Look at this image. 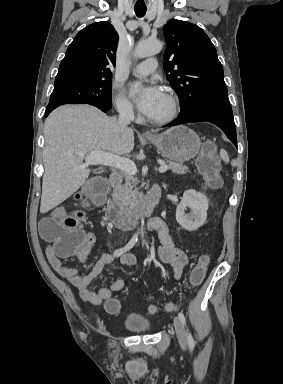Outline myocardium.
I'll list each match as a JSON object with an SVG mask.
<instances>
[{"label":"myocardium","mask_w":283,"mask_h":384,"mask_svg":"<svg viewBox=\"0 0 283 384\" xmlns=\"http://www.w3.org/2000/svg\"><path fill=\"white\" fill-rule=\"evenodd\" d=\"M164 95H165V97L167 99V103H168L167 113L165 115H163L162 117H159V118H155V119L147 118L146 121L148 123L154 124V125H163V124H167V123L173 121L174 118L176 117L177 110H178V103H177L175 96L169 91H167Z\"/></svg>","instance_id":"myocardium-1"}]
</instances>
